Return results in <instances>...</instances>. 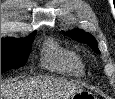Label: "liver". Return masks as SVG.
<instances>
[{
  "mask_svg": "<svg viewBox=\"0 0 115 99\" xmlns=\"http://www.w3.org/2000/svg\"><path fill=\"white\" fill-rule=\"evenodd\" d=\"M80 87L51 77H37L1 83V99H68Z\"/></svg>",
  "mask_w": 115,
  "mask_h": 99,
  "instance_id": "liver-1",
  "label": "liver"
}]
</instances>
